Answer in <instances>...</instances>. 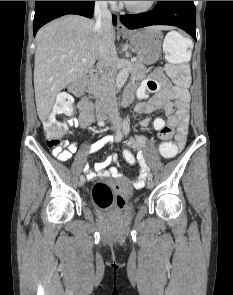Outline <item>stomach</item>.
I'll return each instance as SVG.
<instances>
[{
  "instance_id": "stomach-1",
  "label": "stomach",
  "mask_w": 233,
  "mask_h": 295,
  "mask_svg": "<svg viewBox=\"0 0 233 295\" xmlns=\"http://www.w3.org/2000/svg\"><path fill=\"white\" fill-rule=\"evenodd\" d=\"M133 45L137 58L144 64H154L161 55L163 34L156 26L132 30L124 34Z\"/></svg>"
}]
</instances>
